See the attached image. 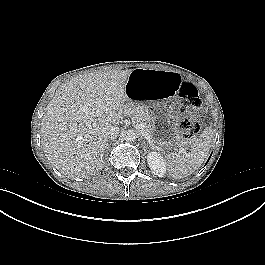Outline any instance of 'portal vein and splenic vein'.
<instances>
[{
    "label": "portal vein and splenic vein",
    "instance_id": "18ae733b",
    "mask_svg": "<svg viewBox=\"0 0 265 265\" xmlns=\"http://www.w3.org/2000/svg\"><path fill=\"white\" fill-rule=\"evenodd\" d=\"M97 103V113L99 114L101 111V109H100V102L99 101H97L96 102ZM137 127H138V129H140V131H141V133L145 136V138L146 139H149V136H148V133L147 132H145L144 130H143V128L141 127V125H137ZM183 150H181V152H182Z\"/></svg>",
    "mask_w": 265,
    "mask_h": 265
}]
</instances>
